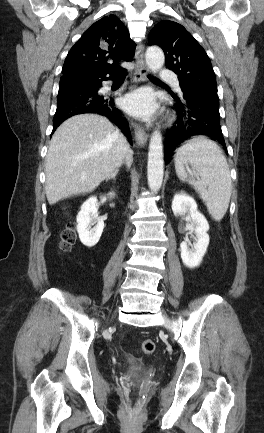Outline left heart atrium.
<instances>
[{
	"label": "left heart atrium",
	"instance_id": "39dd6f15",
	"mask_svg": "<svg viewBox=\"0 0 264 433\" xmlns=\"http://www.w3.org/2000/svg\"><path fill=\"white\" fill-rule=\"evenodd\" d=\"M122 107L128 113L141 118L151 116L156 109L153 95L147 89H139L128 94L122 100Z\"/></svg>",
	"mask_w": 264,
	"mask_h": 433
}]
</instances>
